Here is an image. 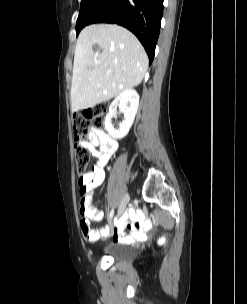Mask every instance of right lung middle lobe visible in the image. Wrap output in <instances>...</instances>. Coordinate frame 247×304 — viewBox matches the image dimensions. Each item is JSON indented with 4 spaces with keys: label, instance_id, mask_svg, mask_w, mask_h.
Instances as JSON below:
<instances>
[{
    "label": "right lung middle lobe",
    "instance_id": "right-lung-middle-lobe-1",
    "mask_svg": "<svg viewBox=\"0 0 247 304\" xmlns=\"http://www.w3.org/2000/svg\"><path fill=\"white\" fill-rule=\"evenodd\" d=\"M102 0H81V8L76 25V34L78 35L83 28V20Z\"/></svg>",
    "mask_w": 247,
    "mask_h": 304
}]
</instances>
